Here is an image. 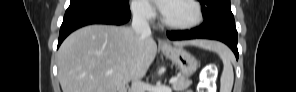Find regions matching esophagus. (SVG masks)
I'll list each match as a JSON object with an SVG mask.
<instances>
[{
	"mask_svg": "<svg viewBox=\"0 0 296 92\" xmlns=\"http://www.w3.org/2000/svg\"><path fill=\"white\" fill-rule=\"evenodd\" d=\"M159 45L162 46V47H167L168 43L161 39V40H159Z\"/></svg>",
	"mask_w": 296,
	"mask_h": 92,
	"instance_id": "34e87169",
	"label": "esophagus"
}]
</instances>
